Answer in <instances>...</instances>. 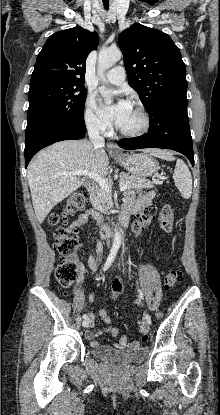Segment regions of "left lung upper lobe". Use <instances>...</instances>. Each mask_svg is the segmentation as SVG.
I'll return each mask as SVG.
<instances>
[{
	"label": "left lung upper lobe",
	"mask_w": 220,
	"mask_h": 415,
	"mask_svg": "<svg viewBox=\"0 0 220 415\" xmlns=\"http://www.w3.org/2000/svg\"><path fill=\"white\" fill-rule=\"evenodd\" d=\"M118 39L128 83L148 112L165 99L186 95L185 63L167 34L135 23Z\"/></svg>",
	"instance_id": "5c2ea615"
}]
</instances>
